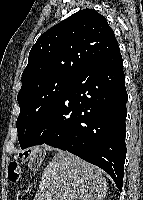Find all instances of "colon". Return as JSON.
<instances>
[{"instance_id":"1","label":"colon","mask_w":143,"mask_h":200,"mask_svg":"<svg viewBox=\"0 0 143 200\" xmlns=\"http://www.w3.org/2000/svg\"><path fill=\"white\" fill-rule=\"evenodd\" d=\"M44 151L40 148H29L10 161L7 170V176L9 181L17 182L22 173L20 162H24L31 170H38L44 161Z\"/></svg>"}]
</instances>
